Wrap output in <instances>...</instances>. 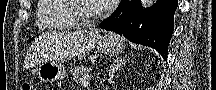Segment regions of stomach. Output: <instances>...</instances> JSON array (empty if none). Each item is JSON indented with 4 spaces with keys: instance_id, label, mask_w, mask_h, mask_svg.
I'll return each mask as SVG.
<instances>
[{
    "instance_id": "obj_1",
    "label": "stomach",
    "mask_w": 216,
    "mask_h": 90,
    "mask_svg": "<svg viewBox=\"0 0 216 90\" xmlns=\"http://www.w3.org/2000/svg\"><path fill=\"white\" fill-rule=\"evenodd\" d=\"M97 47L106 55L114 56L124 50V41L115 34H106L98 42ZM37 74L42 81L54 82L63 80L66 76V69L60 62H44L38 69Z\"/></svg>"
}]
</instances>
